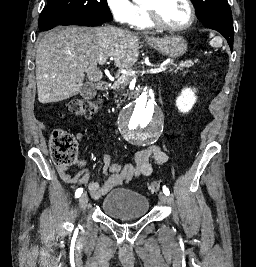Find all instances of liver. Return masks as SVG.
Returning <instances> with one entry per match:
<instances>
[{
	"mask_svg": "<svg viewBox=\"0 0 256 267\" xmlns=\"http://www.w3.org/2000/svg\"><path fill=\"white\" fill-rule=\"evenodd\" d=\"M139 36L100 26H60L43 36L36 50V82L40 104L62 102L79 94L85 74L89 82H100L101 60L113 58L116 68H132L139 56Z\"/></svg>",
	"mask_w": 256,
	"mask_h": 267,
	"instance_id": "obj_1",
	"label": "liver"
}]
</instances>
